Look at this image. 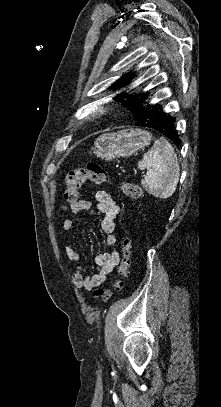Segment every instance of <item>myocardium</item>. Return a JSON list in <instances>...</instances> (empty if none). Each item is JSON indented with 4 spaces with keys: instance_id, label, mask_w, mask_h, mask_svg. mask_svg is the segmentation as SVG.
Wrapping results in <instances>:
<instances>
[{
    "instance_id": "1",
    "label": "myocardium",
    "mask_w": 221,
    "mask_h": 407,
    "mask_svg": "<svg viewBox=\"0 0 221 407\" xmlns=\"http://www.w3.org/2000/svg\"><path fill=\"white\" fill-rule=\"evenodd\" d=\"M91 109L93 110V113L87 118V120H94L104 116L108 111V105L102 102H94L91 105Z\"/></svg>"
}]
</instances>
